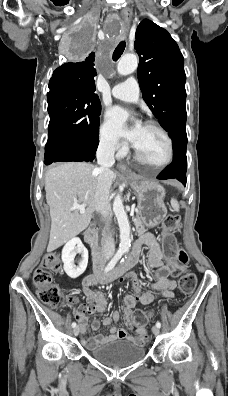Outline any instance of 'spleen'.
I'll use <instances>...</instances> for the list:
<instances>
[{"label":"spleen","mask_w":228,"mask_h":396,"mask_svg":"<svg viewBox=\"0 0 228 396\" xmlns=\"http://www.w3.org/2000/svg\"><path fill=\"white\" fill-rule=\"evenodd\" d=\"M171 204H172L173 208H174L176 211H179V204H178V201H177V200L172 199Z\"/></svg>","instance_id":"spleen-1"}]
</instances>
